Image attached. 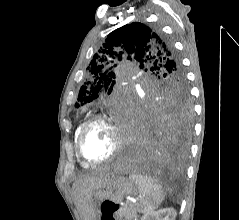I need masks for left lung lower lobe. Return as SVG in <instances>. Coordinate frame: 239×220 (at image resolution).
<instances>
[{
	"instance_id": "left-lung-lower-lobe-1",
	"label": "left lung lower lobe",
	"mask_w": 239,
	"mask_h": 220,
	"mask_svg": "<svg viewBox=\"0 0 239 220\" xmlns=\"http://www.w3.org/2000/svg\"><path fill=\"white\" fill-rule=\"evenodd\" d=\"M133 134L128 161L141 169L180 165L188 153L190 124L177 112H151L136 107L129 114Z\"/></svg>"
}]
</instances>
